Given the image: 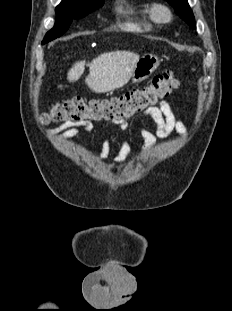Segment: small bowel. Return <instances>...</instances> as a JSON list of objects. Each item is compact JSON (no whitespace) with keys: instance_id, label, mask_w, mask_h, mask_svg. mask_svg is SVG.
<instances>
[{"instance_id":"small-bowel-1","label":"small bowel","mask_w":232,"mask_h":311,"mask_svg":"<svg viewBox=\"0 0 232 311\" xmlns=\"http://www.w3.org/2000/svg\"><path fill=\"white\" fill-rule=\"evenodd\" d=\"M144 116L149 118L156 127V132H152L147 127L142 125L140 127V136L144 143L142 146V153L148 152L156 141V137H164L173 131L184 133L185 126L179 121L173 113L170 105L161 101L158 106H153L144 111ZM113 124L117 126L122 134H126L129 130V124L124 121H113ZM93 130L92 123L88 121L84 122H72L67 121L58 127L47 130L49 136L55 137L57 141L68 140L76 137L82 133H88ZM130 152V145L125 141L120 148L119 152L114 158L115 166H124L128 162V156ZM110 153V143L107 137L101 148L100 158L106 160Z\"/></svg>"}]
</instances>
